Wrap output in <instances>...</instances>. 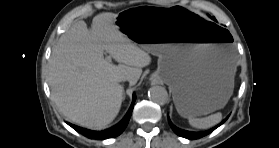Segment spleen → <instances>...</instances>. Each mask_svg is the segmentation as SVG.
Here are the masks:
<instances>
[{
	"label": "spleen",
	"instance_id": "spleen-1",
	"mask_svg": "<svg viewBox=\"0 0 279 148\" xmlns=\"http://www.w3.org/2000/svg\"><path fill=\"white\" fill-rule=\"evenodd\" d=\"M222 119V114L220 112H217L215 114H212L208 117L204 118H195V117H189V123L192 127L199 128V129H208L211 128L218 123H220Z\"/></svg>",
	"mask_w": 279,
	"mask_h": 148
}]
</instances>
